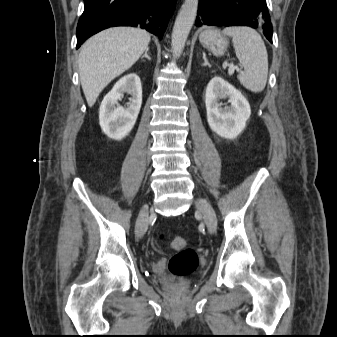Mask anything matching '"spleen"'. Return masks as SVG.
I'll use <instances>...</instances> for the list:
<instances>
[{"label": "spleen", "instance_id": "1", "mask_svg": "<svg viewBox=\"0 0 337 337\" xmlns=\"http://www.w3.org/2000/svg\"><path fill=\"white\" fill-rule=\"evenodd\" d=\"M223 33L232 37L236 56L244 68L238 75L240 83L251 92H261L267 82L268 54L260 34L246 26L226 27Z\"/></svg>", "mask_w": 337, "mask_h": 337}]
</instances>
